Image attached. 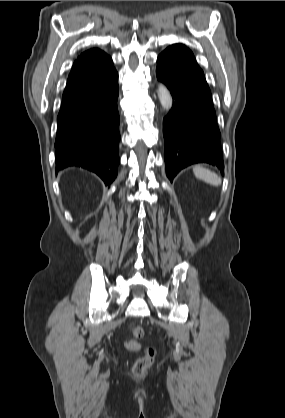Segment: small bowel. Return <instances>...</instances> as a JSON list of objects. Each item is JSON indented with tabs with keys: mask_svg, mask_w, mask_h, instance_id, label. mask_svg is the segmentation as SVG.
<instances>
[{
	"mask_svg": "<svg viewBox=\"0 0 285 418\" xmlns=\"http://www.w3.org/2000/svg\"><path fill=\"white\" fill-rule=\"evenodd\" d=\"M125 347L128 350L139 351L141 349V344L136 341L130 340L125 342Z\"/></svg>",
	"mask_w": 285,
	"mask_h": 418,
	"instance_id": "c3829d8e",
	"label": "small bowel"
}]
</instances>
